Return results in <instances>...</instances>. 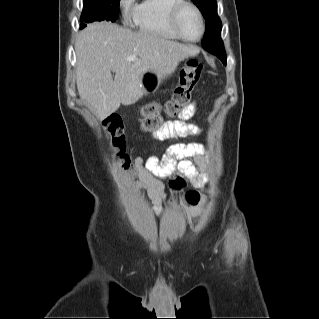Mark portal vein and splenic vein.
Segmentation results:
<instances>
[{"instance_id": "18ae733b", "label": "portal vein and splenic vein", "mask_w": 319, "mask_h": 319, "mask_svg": "<svg viewBox=\"0 0 319 319\" xmlns=\"http://www.w3.org/2000/svg\"><path fill=\"white\" fill-rule=\"evenodd\" d=\"M136 59V56H129L126 58L127 61H133Z\"/></svg>"}]
</instances>
